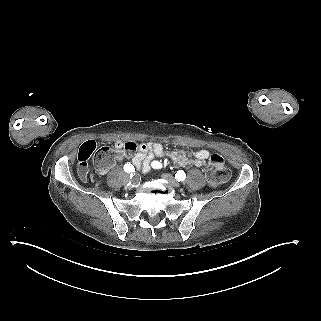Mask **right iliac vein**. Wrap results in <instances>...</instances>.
Instances as JSON below:
<instances>
[{
  "label": "right iliac vein",
  "mask_w": 321,
  "mask_h": 321,
  "mask_svg": "<svg viewBox=\"0 0 321 321\" xmlns=\"http://www.w3.org/2000/svg\"><path fill=\"white\" fill-rule=\"evenodd\" d=\"M125 184H126L127 186L130 185V183L128 182V179H127V178H126Z\"/></svg>",
  "instance_id": "right-iliac-vein-1"
}]
</instances>
